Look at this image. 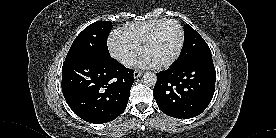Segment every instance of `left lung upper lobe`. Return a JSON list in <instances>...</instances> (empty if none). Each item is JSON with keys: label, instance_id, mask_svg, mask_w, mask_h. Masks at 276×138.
Returning <instances> with one entry per match:
<instances>
[{"label": "left lung upper lobe", "instance_id": "5c2ea615", "mask_svg": "<svg viewBox=\"0 0 276 138\" xmlns=\"http://www.w3.org/2000/svg\"><path fill=\"white\" fill-rule=\"evenodd\" d=\"M184 31V46L179 59L174 64H181L199 55L211 54L209 46L197 31L188 24L185 25Z\"/></svg>", "mask_w": 276, "mask_h": 138}]
</instances>
